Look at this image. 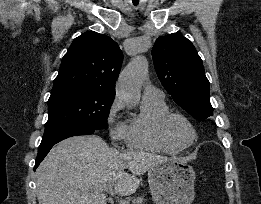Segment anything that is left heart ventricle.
Segmentation results:
<instances>
[{
  "label": "left heart ventricle",
  "mask_w": 261,
  "mask_h": 204,
  "mask_svg": "<svg viewBox=\"0 0 261 204\" xmlns=\"http://www.w3.org/2000/svg\"><path fill=\"white\" fill-rule=\"evenodd\" d=\"M170 129L172 136L180 145H186L192 140V132L183 122L174 121Z\"/></svg>",
  "instance_id": "obj_1"
}]
</instances>
